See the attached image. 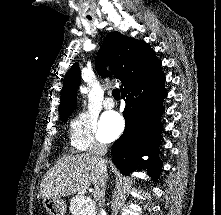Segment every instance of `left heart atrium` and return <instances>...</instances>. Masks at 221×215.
<instances>
[{
  "instance_id": "left-heart-atrium-1",
  "label": "left heart atrium",
  "mask_w": 221,
  "mask_h": 215,
  "mask_svg": "<svg viewBox=\"0 0 221 215\" xmlns=\"http://www.w3.org/2000/svg\"><path fill=\"white\" fill-rule=\"evenodd\" d=\"M124 128L123 118L116 112H106L100 120V131L105 140L116 138Z\"/></svg>"
}]
</instances>
